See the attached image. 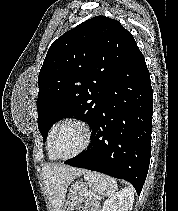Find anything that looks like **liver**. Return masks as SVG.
<instances>
[{
    "label": "liver",
    "instance_id": "liver-1",
    "mask_svg": "<svg viewBox=\"0 0 178 211\" xmlns=\"http://www.w3.org/2000/svg\"><path fill=\"white\" fill-rule=\"evenodd\" d=\"M85 172L86 170L63 164H47L42 168V177L53 211H63L68 186Z\"/></svg>",
    "mask_w": 178,
    "mask_h": 211
}]
</instances>
